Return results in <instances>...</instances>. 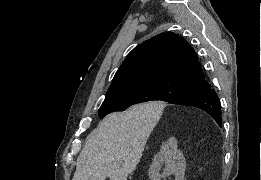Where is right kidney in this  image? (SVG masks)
<instances>
[{"label":"right kidney","mask_w":261,"mask_h":180,"mask_svg":"<svg viewBox=\"0 0 261 180\" xmlns=\"http://www.w3.org/2000/svg\"><path fill=\"white\" fill-rule=\"evenodd\" d=\"M162 164H165L166 168L163 174H159ZM185 170V158L182 152L177 150V140H175V138H169L167 142L162 144L160 152L156 154L154 162L149 170V176H151L152 180L153 178L160 180L161 176H170V174H174L177 180H184Z\"/></svg>","instance_id":"1"}]
</instances>
